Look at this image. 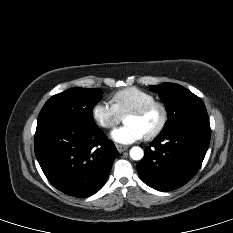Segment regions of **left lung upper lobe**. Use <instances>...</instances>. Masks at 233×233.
I'll list each match as a JSON object with an SVG mask.
<instances>
[{"label": "left lung upper lobe", "mask_w": 233, "mask_h": 233, "mask_svg": "<svg viewBox=\"0 0 233 233\" xmlns=\"http://www.w3.org/2000/svg\"><path fill=\"white\" fill-rule=\"evenodd\" d=\"M150 88L159 93L168 112V121L162 132L193 121H209L203 101L181 85L163 83Z\"/></svg>", "instance_id": "1"}]
</instances>
